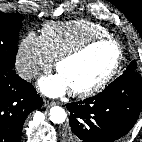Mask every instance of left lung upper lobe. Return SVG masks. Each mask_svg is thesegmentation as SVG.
I'll use <instances>...</instances> for the list:
<instances>
[{
    "label": "left lung upper lobe",
    "instance_id": "1",
    "mask_svg": "<svg viewBox=\"0 0 142 142\" xmlns=\"http://www.w3.org/2000/svg\"><path fill=\"white\" fill-rule=\"evenodd\" d=\"M136 68H137V64H136V61L134 60L130 63V65L127 67L124 73L130 72V71H136Z\"/></svg>",
    "mask_w": 142,
    "mask_h": 142
}]
</instances>
